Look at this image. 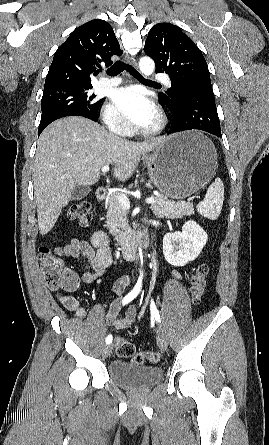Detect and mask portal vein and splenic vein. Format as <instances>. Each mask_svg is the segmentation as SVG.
<instances>
[{"label": "portal vein and splenic vein", "mask_w": 269, "mask_h": 445, "mask_svg": "<svg viewBox=\"0 0 269 445\" xmlns=\"http://www.w3.org/2000/svg\"><path fill=\"white\" fill-rule=\"evenodd\" d=\"M108 171H109V166L108 165L103 166L101 168V172L102 173H107ZM118 201H119V204L122 206V208H124V209H129L130 208L129 199H128V197L125 194H123V193L119 194L118 195ZM155 202H156V200L153 197H149V198L146 199V203L147 204H154Z\"/></svg>", "instance_id": "portal-vein-and-splenic-vein-1"}]
</instances>
